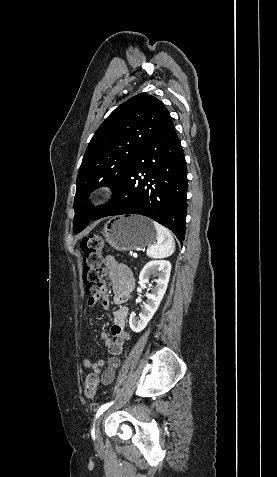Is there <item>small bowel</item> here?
<instances>
[{"label":"small bowel","instance_id":"obj_1","mask_svg":"<svg viewBox=\"0 0 277 477\" xmlns=\"http://www.w3.org/2000/svg\"><path fill=\"white\" fill-rule=\"evenodd\" d=\"M105 265L111 280L114 302L116 304H122L128 300L130 293L135 288L133 274L126 265L119 263L111 256L106 257ZM99 300L103 308L108 309L111 306L110 293L105 284H102L99 296L89 298L88 304L92 306ZM127 315L128 308L124 306L120 307L114 313V325L111 330V336L105 331L100 333V338L104 341L105 346L111 354L107 360V368L103 370L106 362L102 359L96 362H92L88 358L83 360L84 367L92 369L94 374L99 375L103 385H109L113 382L116 370L120 366V360L117 355L121 353L124 344L130 339V335L125 329Z\"/></svg>","mask_w":277,"mask_h":477}]
</instances>
